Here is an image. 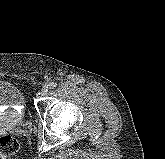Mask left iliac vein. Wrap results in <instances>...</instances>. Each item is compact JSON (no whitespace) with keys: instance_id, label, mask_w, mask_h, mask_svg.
Returning <instances> with one entry per match:
<instances>
[{"instance_id":"obj_1","label":"left iliac vein","mask_w":165,"mask_h":159,"mask_svg":"<svg viewBox=\"0 0 165 159\" xmlns=\"http://www.w3.org/2000/svg\"><path fill=\"white\" fill-rule=\"evenodd\" d=\"M49 89H50V86L45 84L43 87H42V90H41V95L42 96H46L49 92Z\"/></svg>"}]
</instances>
